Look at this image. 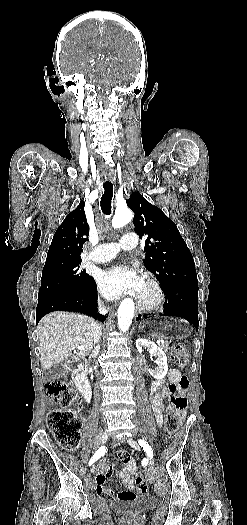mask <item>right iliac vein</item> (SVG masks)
<instances>
[{
    "label": "right iliac vein",
    "mask_w": 247,
    "mask_h": 525,
    "mask_svg": "<svg viewBox=\"0 0 247 525\" xmlns=\"http://www.w3.org/2000/svg\"><path fill=\"white\" fill-rule=\"evenodd\" d=\"M107 439H108V433H107V432H104V434H103L102 437H101V443H102V444L106 443ZM91 472H92V473L95 472V465H92V467H91Z\"/></svg>",
    "instance_id": "1"
}]
</instances>
